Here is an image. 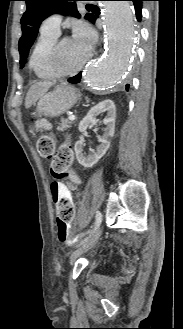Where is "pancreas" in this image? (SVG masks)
<instances>
[{
	"label": "pancreas",
	"mask_w": 183,
	"mask_h": 329,
	"mask_svg": "<svg viewBox=\"0 0 183 329\" xmlns=\"http://www.w3.org/2000/svg\"><path fill=\"white\" fill-rule=\"evenodd\" d=\"M73 121L67 120V119H62L60 126L57 128L59 131L63 132L66 129L70 128L71 125L73 124Z\"/></svg>",
	"instance_id": "1"
}]
</instances>
